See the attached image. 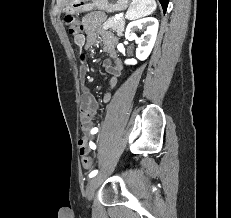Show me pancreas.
I'll return each mask as SVG.
<instances>
[{"label": "pancreas", "instance_id": "obj_1", "mask_svg": "<svg viewBox=\"0 0 231 218\" xmlns=\"http://www.w3.org/2000/svg\"><path fill=\"white\" fill-rule=\"evenodd\" d=\"M125 26V20L123 17L120 19H116L115 17H110L104 24L103 29H112L117 32L118 36L122 35V32L124 31Z\"/></svg>", "mask_w": 231, "mask_h": 218}]
</instances>
